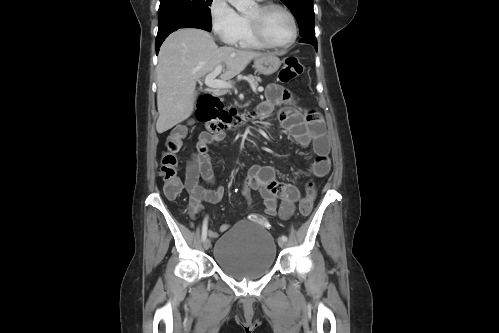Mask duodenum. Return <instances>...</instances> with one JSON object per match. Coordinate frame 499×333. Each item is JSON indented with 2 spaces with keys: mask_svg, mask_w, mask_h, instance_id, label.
I'll return each instance as SVG.
<instances>
[{
  "mask_svg": "<svg viewBox=\"0 0 499 333\" xmlns=\"http://www.w3.org/2000/svg\"><path fill=\"white\" fill-rule=\"evenodd\" d=\"M216 101L219 102V99L216 96L211 94L203 95L197 106V116L201 121H209V134H219V132L215 129L217 127L222 128V134L226 131H235L245 124L251 122L255 118L259 116V111L252 110L242 114H236L233 117L230 116L224 125L221 121L214 119L212 114L215 112V108L219 105Z\"/></svg>",
  "mask_w": 499,
  "mask_h": 333,
  "instance_id": "duodenum-1",
  "label": "duodenum"
}]
</instances>
